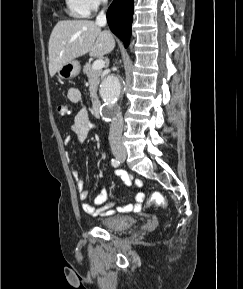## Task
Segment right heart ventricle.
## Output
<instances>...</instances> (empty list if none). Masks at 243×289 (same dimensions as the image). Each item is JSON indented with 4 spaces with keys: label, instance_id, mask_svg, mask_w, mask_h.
I'll return each mask as SVG.
<instances>
[{
    "label": "right heart ventricle",
    "instance_id": "obj_1",
    "mask_svg": "<svg viewBox=\"0 0 243 289\" xmlns=\"http://www.w3.org/2000/svg\"><path fill=\"white\" fill-rule=\"evenodd\" d=\"M66 4L69 10V13L75 17L85 16L80 10H78L70 0H66Z\"/></svg>",
    "mask_w": 243,
    "mask_h": 289
}]
</instances>
